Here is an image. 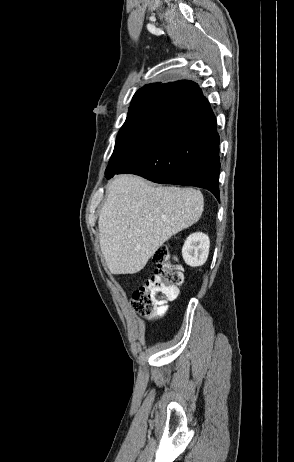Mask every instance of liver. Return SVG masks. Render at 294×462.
I'll return each instance as SVG.
<instances>
[{"instance_id": "1", "label": "liver", "mask_w": 294, "mask_h": 462, "mask_svg": "<svg viewBox=\"0 0 294 462\" xmlns=\"http://www.w3.org/2000/svg\"><path fill=\"white\" fill-rule=\"evenodd\" d=\"M98 228L100 248L112 274H135L176 233L196 223L204 200L193 188L152 187L132 175L107 185Z\"/></svg>"}]
</instances>
